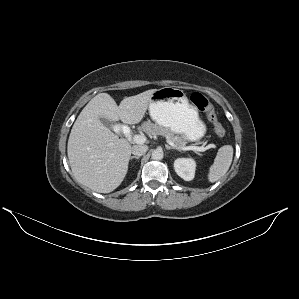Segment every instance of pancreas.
I'll use <instances>...</instances> for the list:
<instances>
[{"mask_svg": "<svg viewBox=\"0 0 299 299\" xmlns=\"http://www.w3.org/2000/svg\"><path fill=\"white\" fill-rule=\"evenodd\" d=\"M142 131L147 133L149 136L160 135L165 137L167 140L172 141L177 146H185L186 141L183 137L174 135L170 130L165 127L159 126L157 124L152 123L151 121H146L142 124L141 128Z\"/></svg>", "mask_w": 299, "mask_h": 299, "instance_id": "cf45deb5", "label": "pancreas"}]
</instances>
